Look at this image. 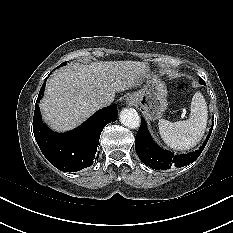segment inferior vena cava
<instances>
[{"label":"inferior vena cava","instance_id":"1","mask_svg":"<svg viewBox=\"0 0 233 233\" xmlns=\"http://www.w3.org/2000/svg\"><path fill=\"white\" fill-rule=\"evenodd\" d=\"M112 103V99L109 98V97H102L98 100V104L101 106V107H104V106H107V105H110Z\"/></svg>","mask_w":233,"mask_h":233}]
</instances>
